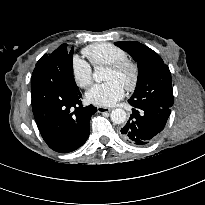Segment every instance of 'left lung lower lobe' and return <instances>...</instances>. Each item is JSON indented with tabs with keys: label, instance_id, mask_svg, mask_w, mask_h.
<instances>
[{
	"label": "left lung lower lobe",
	"instance_id": "left-lung-lower-lobe-1",
	"mask_svg": "<svg viewBox=\"0 0 205 205\" xmlns=\"http://www.w3.org/2000/svg\"><path fill=\"white\" fill-rule=\"evenodd\" d=\"M131 117L121 129L122 139L132 145L152 143L164 129L171 113L168 107L133 106Z\"/></svg>",
	"mask_w": 205,
	"mask_h": 205
}]
</instances>
